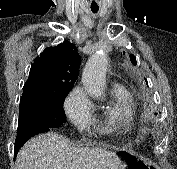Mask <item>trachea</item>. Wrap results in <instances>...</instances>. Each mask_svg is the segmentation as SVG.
Instances as JSON below:
<instances>
[{
    "instance_id": "1",
    "label": "trachea",
    "mask_w": 177,
    "mask_h": 169,
    "mask_svg": "<svg viewBox=\"0 0 177 169\" xmlns=\"http://www.w3.org/2000/svg\"><path fill=\"white\" fill-rule=\"evenodd\" d=\"M91 11H92L93 13H97L98 7H91Z\"/></svg>"
}]
</instances>
